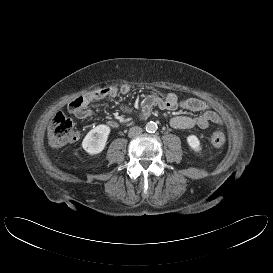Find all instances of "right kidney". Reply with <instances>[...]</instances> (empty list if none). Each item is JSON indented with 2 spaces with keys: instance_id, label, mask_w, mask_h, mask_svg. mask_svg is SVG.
Returning a JSON list of instances; mask_svg holds the SVG:
<instances>
[{
  "instance_id": "obj_1",
  "label": "right kidney",
  "mask_w": 273,
  "mask_h": 273,
  "mask_svg": "<svg viewBox=\"0 0 273 273\" xmlns=\"http://www.w3.org/2000/svg\"><path fill=\"white\" fill-rule=\"evenodd\" d=\"M110 131V127L105 124H100L96 126L94 129L90 130L83 139V149L89 155H97L101 153L106 146Z\"/></svg>"
}]
</instances>
